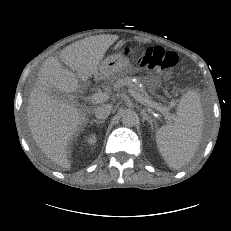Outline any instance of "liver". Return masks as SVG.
Listing matches in <instances>:
<instances>
[{"mask_svg":"<svg viewBox=\"0 0 231 231\" xmlns=\"http://www.w3.org/2000/svg\"><path fill=\"white\" fill-rule=\"evenodd\" d=\"M118 39L110 34L90 36L65 47L59 58H47L30 93L27 118L32 137L46 157L64 169L71 168L69 145L87 122V112L55 97L51 89L78 91L79 81L88 82L97 75L106 51ZM63 63L72 71L64 69Z\"/></svg>","mask_w":231,"mask_h":231,"instance_id":"6515ba94","label":"liver"}]
</instances>
